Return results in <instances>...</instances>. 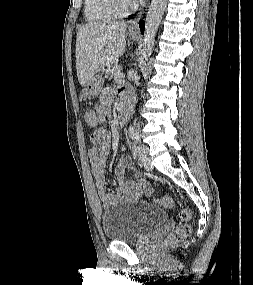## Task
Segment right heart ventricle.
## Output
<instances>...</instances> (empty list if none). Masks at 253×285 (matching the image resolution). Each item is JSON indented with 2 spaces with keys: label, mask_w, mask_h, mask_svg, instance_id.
Segmentation results:
<instances>
[{
  "label": "right heart ventricle",
  "mask_w": 253,
  "mask_h": 285,
  "mask_svg": "<svg viewBox=\"0 0 253 285\" xmlns=\"http://www.w3.org/2000/svg\"><path fill=\"white\" fill-rule=\"evenodd\" d=\"M84 15L89 22H103L119 16L110 0H84Z\"/></svg>",
  "instance_id": "right-heart-ventricle-1"
}]
</instances>
